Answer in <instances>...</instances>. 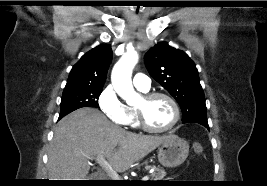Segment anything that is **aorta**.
<instances>
[{"label": "aorta", "mask_w": 267, "mask_h": 186, "mask_svg": "<svg viewBox=\"0 0 267 186\" xmlns=\"http://www.w3.org/2000/svg\"><path fill=\"white\" fill-rule=\"evenodd\" d=\"M137 62V52L133 50L128 51L115 64L111 74V80L115 91L128 103L134 102L140 98L139 94L135 92L131 80L132 71Z\"/></svg>", "instance_id": "aorta-1"}]
</instances>
